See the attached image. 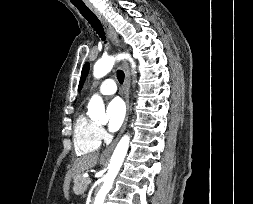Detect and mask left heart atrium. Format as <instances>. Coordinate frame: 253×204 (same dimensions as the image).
Segmentation results:
<instances>
[{"label": "left heart atrium", "mask_w": 253, "mask_h": 204, "mask_svg": "<svg viewBox=\"0 0 253 204\" xmlns=\"http://www.w3.org/2000/svg\"><path fill=\"white\" fill-rule=\"evenodd\" d=\"M108 129L111 132L117 131L125 119V107L118 98L113 99L107 106Z\"/></svg>", "instance_id": "39dd6f15"}]
</instances>
